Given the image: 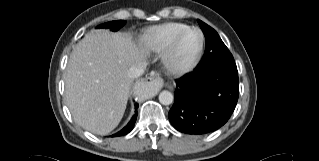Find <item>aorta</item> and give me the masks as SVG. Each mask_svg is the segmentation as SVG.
<instances>
[{"instance_id": "aorta-1", "label": "aorta", "mask_w": 319, "mask_h": 161, "mask_svg": "<svg viewBox=\"0 0 319 161\" xmlns=\"http://www.w3.org/2000/svg\"><path fill=\"white\" fill-rule=\"evenodd\" d=\"M146 88L147 87H144L140 93L143 97L148 96ZM173 99V94L169 91L164 90L159 94V102L163 105H170L173 102Z\"/></svg>"}]
</instances>
